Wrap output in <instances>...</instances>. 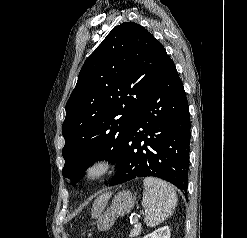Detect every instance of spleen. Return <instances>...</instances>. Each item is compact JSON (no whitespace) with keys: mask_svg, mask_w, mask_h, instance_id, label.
<instances>
[{"mask_svg":"<svg viewBox=\"0 0 247 238\" xmlns=\"http://www.w3.org/2000/svg\"><path fill=\"white\" fill-rule=\"evenodd\" d=\"M143 184L145 223L149 227H155L173 213L177 205V194L169 183L155 177H146Z\"/></svg>","mask_w":247,"mask_h":238,"instance_id":"1","label":"spleen"}]
</instances>
